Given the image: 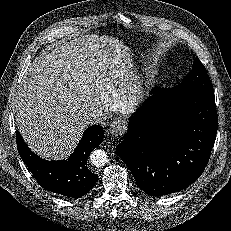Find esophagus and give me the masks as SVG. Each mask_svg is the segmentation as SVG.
I'll list each match as a JSON object with an SVG mask.
<instances>
[{"label": "esophagus", "mask_w": 231, "mask_h": 231, "mask_svg": "<svg viewBox=\"0 0 231 231\" xmlns=\"http://www.w3.org/2000/svg\"><path fill=\"white\" fill-rule=\"evenodd\" d=\"M108 132L113 136H121L125 132V125L121 120H114L108 127Z\"/></svg>", "instance_id": "34e87169"}]
</instances>
